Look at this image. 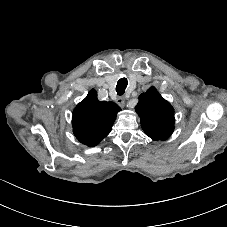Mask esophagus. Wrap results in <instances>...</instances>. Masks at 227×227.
Listing matches in <instances>:
<instances>
[{"label":"esophagus","instance_id":"esophagus-1","mask_svg":"<svg viewBox=\"0 0 227 227\" xmlns=\"http://www.w3.org/2000/svg\"><path fill=\"white\" fill-rule=\"evenodd\" d=\"M116 102L120 107H122V108L125 107V99L123 97H118L116 99Z\"/></svg>","mask_w":227,"mask_h":227}]
</instances>
